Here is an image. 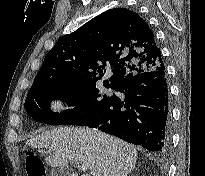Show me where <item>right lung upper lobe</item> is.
Instances as JSON below:
<instances>
[{
    "label": "right lung upper lobe",
    "mask_w": 205,
    "mask_h": 176,
    "mask_svg": "<svg viewBox=\"0 0 205 176\" xmlns=\"http://www.w3.org/2000/svg\"><path fill=\"white\" fill-rule=\"evenodd\" d=\"M163 64L145 20L129 9L114 8L58 40L46 54L29 93L48 86L95 85L108 68L113 74L104 85L117 88Z\"/></svg>",
    "instance_id": "1"
}]
</instances>
